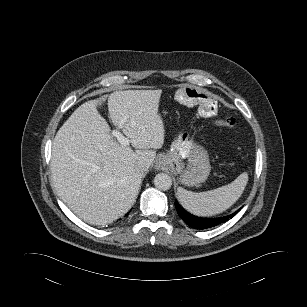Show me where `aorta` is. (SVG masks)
Here are the masks:
<instances>
[{
  "label": "aorta",
  "instance_id": "762f6f07",
  "mask_svg": "<svg viewBox=\"0 0 307 307\" xmlns=\"http://www.w3.org/2000/svg\"><path fill=\"white\" fill-rule=\"evenodd\" d=\"M154 185L159 190H169L172 186V179L166 173H159L154 178Z\"/></svg>",
  "mask_w": 307,
  "mask_h": 307
}]
</instances>
